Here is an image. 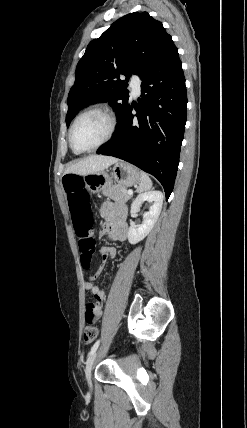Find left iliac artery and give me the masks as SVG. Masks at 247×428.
Listing matches in <instances>:
<instances>
[{
	"instance_id": "obj_1",
	"label": "left iliac artery",
	"mask_w": 247,
	"mask_h": 428,
	"mask_svg": "<svg viewBox=\"0 0 247 428\" xmlns=\"http://www.w3.org/2000/svg\"><path fill=\"white\" fill-rule=\"evenodd\" d=\"M99 343H100V340H97L95 342V344L92 346V348H91V350L89 352V357L92 356L95 353V351L97 350V348L99 346Z\"/></svg>"
}]
</instances>
